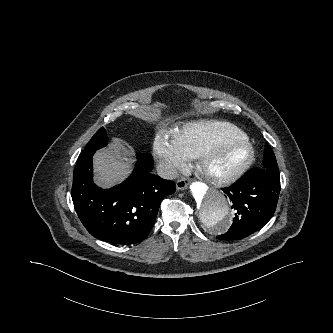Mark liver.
Segmentation results:
<instances>
[{"mask_svg": "<svg viewBox=\"0 0 333 333\" xmlns=\"http://www.w3.org/2000/svg\"><path fill=\"white\" fill-rule=\"evenodd\" d=\"M134 153L119 139H114L107 149L94 155L96 183L109 187L123 181L130 172Z\"/></svg>", "mask_w": 333, "mask_h": 333, "instance_id": "obj_1", "label": "liver"}]
</instances>
